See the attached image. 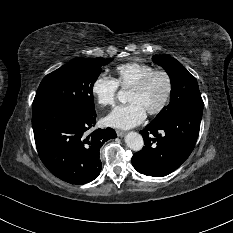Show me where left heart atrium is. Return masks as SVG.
I'll return each instance as SVG.
<instances>
[{"label": "left heart atrium", "instance_id": "left-heart-atrium-1", "mask_svg": "<svg viewBox=\"0 0 233 233\" xmlns=\"http://www.w3.org/2000/svg\"><path fill=\"white\" fill-rule=\"evenodd\" d=\"M146 110L137 102L116 106L104 119L108 126L129 129L146 118Z\"/></svg>", "mask_w": 233, "mask_h": 233}]
</instances>
